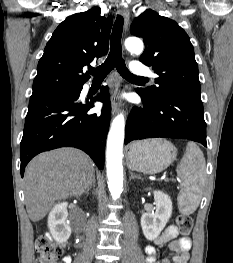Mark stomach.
I'll return each mask as SVG.
<instances>
[{
    "instance_id": "stomach-1",
    "label": "stomach",
    "mask_w": 233,
    "mask_h": 263,
    "mask_svg": "<svg viewBox=\"0 0 233 263\" xmlns=\"http://www.w3.org/2000/svg\"><path fill=\"white\" fill-rule=\"evenodd\" d=\"M173 144L163 139L142 140L133 143L127 152L129 169L155 174L166 169L176 158Z\"/></svg>"
}]
</instances>
